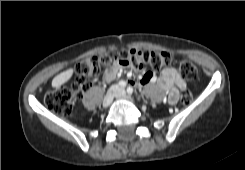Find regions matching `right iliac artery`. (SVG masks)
Wrapping results in <instances>:
<instances>
[{"mask_svg": "<svg viewBox=\"0 0 245 170\" xmlns=\"http://www.w3.org/2000/svg\"><path fill=\"white\" fill-rule=\"evenodd\" d=\"M118 85L120 86V87H125L126 86V82L125 81H120L119 83H118Z\"/></svg>", "mask_w": 245, "mask_h": 170, "instance_id": "82829eb1", "label": "right iliac artery"}]
</instances>
